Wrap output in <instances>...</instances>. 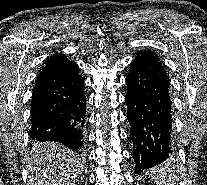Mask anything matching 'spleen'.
Listing matches in <instances>:
<instances>
[{"mask_svg": "<svg viewBox=\"0 0 207 185\" xmlns=\"http://www.w3.org/2000/svg\"><path fill=\"white\" fill-rule=\"evenodd\" d=\"M155 171H164V166H155ZM147 179H177V174H147Z\"/></svg>", "mask_w": 207, "mask_h": 185, "instance_id": "obj_1", "label": "spleen"}]
</instances>
